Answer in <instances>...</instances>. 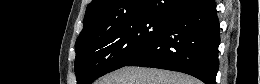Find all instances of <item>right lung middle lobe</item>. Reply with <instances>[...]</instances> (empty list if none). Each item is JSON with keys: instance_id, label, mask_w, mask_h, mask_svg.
I'll return each mask as SVG.
<instances>
[{"instance_id": "obj_1", "label": "right lung middle lobe", "mask_w": 260, "mask_h": 84, "mask_svg": "<svg viewBox=\"0 0 260 84\" xmlns=\"http://www.w3.org/2000/svg\"><path fill=\"white\" fill-rule=\"evenodd\" d=\"M170 16L142 15L105 27L96 38L75 45L77 84L126 66L161 34Z\"/></svg>"}]
</instances>
